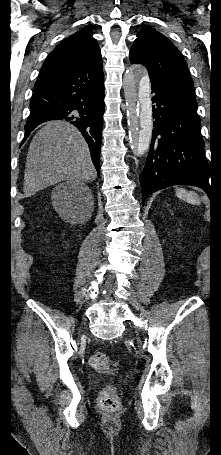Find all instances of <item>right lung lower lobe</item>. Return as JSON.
<instances>
[{
	"instance_id": "obj_1",
	"label": "right lung lower lobe",
	"mask_w": 221,
	"mask_h": 455,
	"mask_svg": "<svg viewBox=\"0 0 221 455\" xmlns=\"http://www.w3.org/2000/svg\"><path fill=\"white\" fill-rule=\"evenodd\" d=\"M24 140L39 124L65 119L75 125L88 143L99 174L104 113L102 59H93L65 70L35 87Z\"/></svg>"
}]
</instances>
